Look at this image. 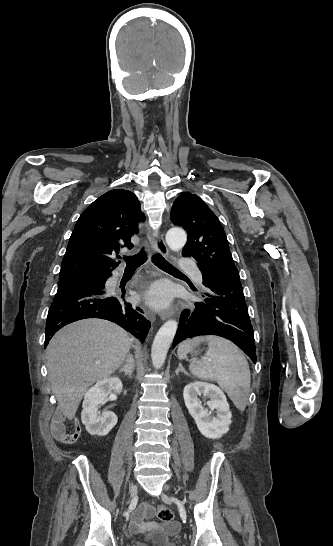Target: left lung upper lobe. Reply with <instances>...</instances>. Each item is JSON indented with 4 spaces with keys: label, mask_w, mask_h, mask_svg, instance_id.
<instances>
[{
    "label": "left lung upper lobe",
    "mask_w": 333,
    "mask_h": 546,
    "mask_svg": "<svg viewBox=\"0 0 333 546\" xmlns=\"http://www.w3.org/2000/svg\"><path fill=\"white\" fill-rule=\"evenodd\" d=\"M171 221L187 231L183 256L194 258L215 280H240L224 229L201 198L189 192L181 194L173 203Z\"/></svg>",
    "instance_id": "obj_1"
}]
</instances>
